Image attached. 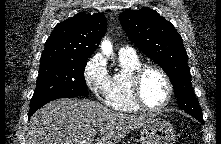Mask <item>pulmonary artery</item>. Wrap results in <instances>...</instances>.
<instances>
[{"label": "pulmonary artery", "mask_w": 221, "mask_h": 144, "mask_svg": "<svg viewBox=\"0 0 221 144\" xmlns=\"http://www.w3.org/2000/svg\"><path fill=\"white\" fill-rule=\"evenodd\" d=\"M119 55L128 56V57H135L136 53L132 47L124 46L120 48Z\"/></svg>", "instance_id": "1"}]
</instances>
